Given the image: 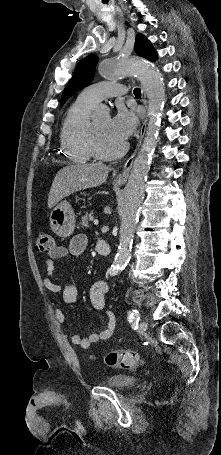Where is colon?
Here are the masks:
<instances>
[{
	"label": "colon",
	"mask_w": 221,
	"mask_h": 455,
	"mask_svg": "<svg viewBox=\"0 0 221 455\" xmlns=\"http://www.w3.org/2000/svg\"><path fill=\"white\" fill-rule=\"evenodd\" d=\"M35 246L39 252H50L54 247L50 233L38 231ZM104 363L114 368L135 369L143 365V358L135 351H112L105 354Z\"/></svg>",
	"instance_id": "obj_1"
}]
</instances>
